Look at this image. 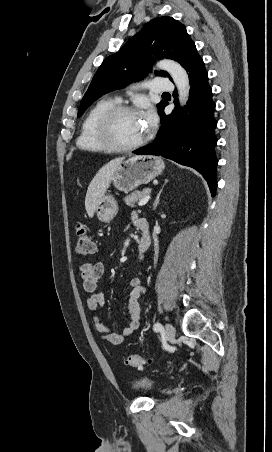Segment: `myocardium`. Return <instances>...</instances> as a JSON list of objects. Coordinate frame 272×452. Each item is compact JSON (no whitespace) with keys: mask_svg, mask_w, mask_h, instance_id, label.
Instances as JSON below:
<instances>
[{"mask_svg":"<svg viewBox=\"0 0 272 452\" xmlns=\"http://www.w3.org/2000/svg\"><path fill=\"white\" fill-rule=\"evenodd\" d=\"M124 113H137V110L133 106L114 105L104 110L97 119V136L108 150L120 152L131 151L144 145L149 138V135L146 134L140 140L131 144H123L118 142L114 137V122L119 115Z\"/></svg>","mask_w":272,"mask_h":452,"instance_id":"1","label":"myocardium"}]
</instances>
